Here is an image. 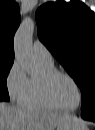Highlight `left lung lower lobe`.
Here are the masks:
<instances>
[{"instance_id": "1", "label": "left lung lower lobe", "mask_w": 95, "mask_h": 130, "mask_svg": "<svg viewBox=\"0 0 95 130\" xmlns=\"http://www.w3.org/2000/svg\"><path fill=\"white\" fill-rule=\"evenodd\" d=\"M82 118L85 120L95 121V106L83 109Z\"/></svg>"}]
</instances>
